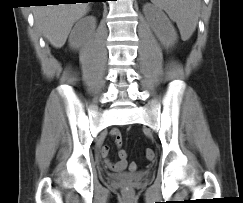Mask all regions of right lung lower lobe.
Masks as SVG:
<instances>
[{"label": "right lung lower lobe", "mask_w": 243, "mask_h": 203, "mask_svg": "<svg viewBox=\"0 0 243 203\" xmlns=\"http://www.w3.org/2000/svg\"><path fill=\"white\" fill-rule=\"evenodd\" d=\"M45 1H50V0H40L38 2V4H35V5H40V6L44 5L46 3ZM59 1H61V2H49V3H55V4H57V3H68V4H70V3H76L77 1H87L86 3H88V1H93V2H102V1H104L105 2L106 0H59Z\"/></svg>", "instance_id": "right-lung-lower-lobe-1"}]
</instances>
